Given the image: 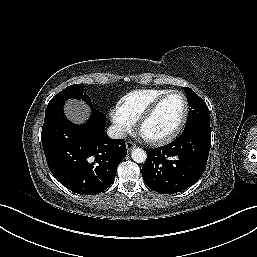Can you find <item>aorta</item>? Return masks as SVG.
<instances>
[{"label": "aorta", "instance_id": "1", "mask_svg": "<svg viewBox=\"0 0 257 257\" xmlns=\"http://www.w3.org/2000/svg\"><path fill=\"white\" fill-rule=\"evenodd\" d=\"M131 157L136 163H143L147 158L146 152L141 148L133 149L131 153Z\"/></svg>", "mask_w": 257, "mask_h": 257}]
</instances>
